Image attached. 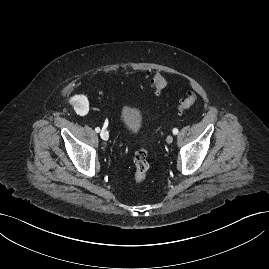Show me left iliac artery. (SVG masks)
Masks as SVG:
<instances>
[{"instance_id": "1", "label": "left iliac artery", "mask_w": 269, "mask_h": 269, "mask_svg": "<svg viewBox=\"0 0 269 269\" xmlns=\"http://www.w3.org/2000/svg\"><path fill=\"white\" fill-rule=\"evenodd\" d=\"M172 132H173L174 135H177L179 131H178L177 128H174Z\"/></svg>"}]
</instances>
